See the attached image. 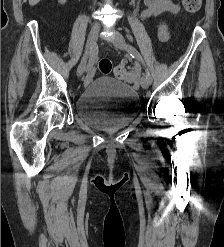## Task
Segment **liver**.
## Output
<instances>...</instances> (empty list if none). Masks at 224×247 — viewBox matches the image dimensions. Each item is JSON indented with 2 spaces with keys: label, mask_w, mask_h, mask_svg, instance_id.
<instances>
[{
  "label": "liver",
  "mask_w": 224,
  "mask_h": 247,
  "mask_svg": "<svg viewBox=\"0 0 224 247\" xmlns=\"http://www.w3.org/2000/svg\"><path fill=\"white\" fill-rule=\"evenodd\" d=\"M40 0H29V6H36Z\"/></svg>",
  "instance_id": "liver-1"
}]
</instances>
